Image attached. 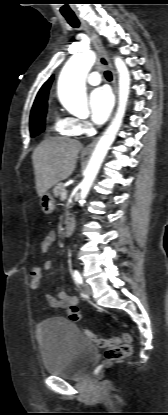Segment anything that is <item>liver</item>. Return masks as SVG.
Returning a JSON list of instances; mask_svg holds the SVG:
<instances>
[{"mask_svg": "<svg viewBox=\"0 0 168 415\" xmlns=\"http://www.w3.org/2000/svg\"><path fill=\"white\" fill-rule=\"evenodd\" d=\"M81 149L79 141L61 137L45 139L36 147L32 160L39 197L72 174Z\"/></svg>", "mask_w": 168, "mask_h": 415, "instance_id": "1", "label": "liver"}]
</instances>
